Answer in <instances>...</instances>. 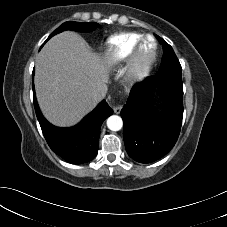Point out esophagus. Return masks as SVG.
I'll list each match as a JSON object with an SVG mask.
<instances>
[{"mask_svg": "<svg viewBox=\"0 0 227 227\" xmlns=\"http://www.w3.org/2000/svg\"><path fill=\"white\" fill-rule=\"evenodd\" d=\"M121 109H122V106H121V105H117V106H115V107L113 108L114 113H116V114H119L120 111H121Z\"/></svg>", "mask_w": 227, "mask_h": 227, "instance_id": "34e87169", "label": "esophagus"}]
</instances>
